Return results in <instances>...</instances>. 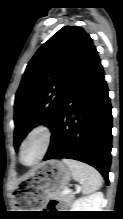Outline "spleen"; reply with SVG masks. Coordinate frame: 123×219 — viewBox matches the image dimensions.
<instances>
[{
  "label": "spleen",
  "mask_w": 123,
  "mask_h": 219,
  "mask_svg": "<svg viewBox=\"0 0 123 219\" xmlns=\"http://www.w3.org/2000/svg\"><path fill=\"white\" fill-rule=\"evenodd\" d=\"M73 175V178L82 186L83 194H91L100 189L103 178L93 167L71 159H63Z\"/></svg>",
  "instance_id": "1"
}]
</instances>
